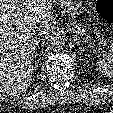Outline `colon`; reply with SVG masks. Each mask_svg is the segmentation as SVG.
<instances>
[{"label": "colon", "instance_id": "1", "mask_svg": "<svg viewBox=\"0 0 113 113\" xmlns=\"http://www.w3.org/2000/svg\"><path fill=\"white\" fill-rule=\"evenodd\" d=\"M98 15L109 23H113V0H97Z\"/></svg>", "mask_w": 113, "mask_h": 113}]
</instances>
